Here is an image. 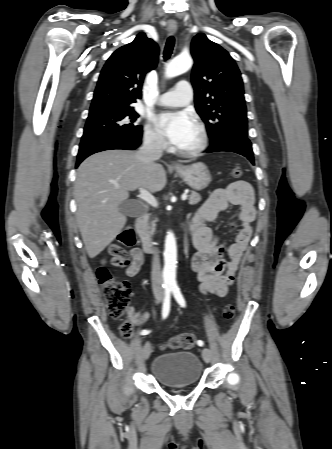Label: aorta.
I'll use <instances>...</instances> for the list:
<instances>
[{
	"label": "aorta",
	"mask_w": 332,
	"mask_h": 449,
	"mask_svg": "<svg viewBox=\"0 0 332 449\" xmlns=\"http://www.w3.org/2000/svg\"><path fill=\"white\" fill-rule=\"evenodd\" d=\"M192 59L189 55L175 57L166 67L165 77L173 78L187 72L192 67ZM163 280L167 285H176L177 245L173 232L169 231L165 238L164 246Z\"/></svg>",
	"instance_id": "1"
}]
</instances>
